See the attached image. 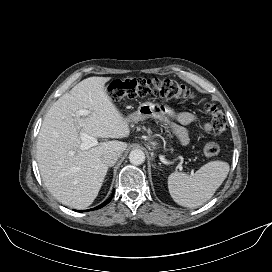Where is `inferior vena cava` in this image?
<instances>
[{"instance_id":"602c4592","label":"inferior vena cava","mask_w":272,"mask_h":272,"mask_svg":"<svg viewBox=\"0 0 272 272\" xmlns=\"http://www.w3.org/2000/svg\"><path fill=\"white\" fill-rule=\"evenodd\" d=\"M119 154L114 151H107L102 155V161L107 166H113L118 160Z\"/></svg>"}]
</instances>
